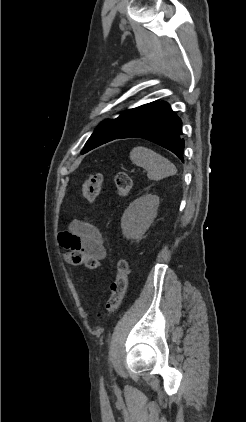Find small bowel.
Instances as JSON below:
<instances>
[{
	"mask_svg": "<svg viewBox=\"0 0 246 422\" xmlns=\"http://www.w3.org/2000/svg\"><path fill=\"white\" fill-rule=\"evenodd\" d=\"M58 240L64 249L79 250L98 262L107 254L100 231L87 220H75L68 230L59 234Z\"/></svg>",
	"mask_w": 246,
	"mask_h": 422,
	"instance_id": "c3829d8e",
	"label": "small bowel"
}]
</instances>
